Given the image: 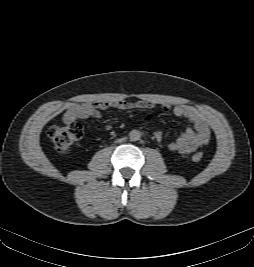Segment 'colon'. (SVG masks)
<instances>
[{"instance_id": "obj_1", "label": "colon", "mask_w": 254, "mask_h": 267, "mask_svg": "<svg viewBox=\"0 0 254 267\" xmlns=\"http://www.w3.org/2000/svg\"><path fill=\"white\" fill-rule=\"evenodd\" d=\"M48 135L52 140L55 149L59 153L67 152L83 135L82 126L78 123L67 125H53L48 130ZM192 161L195 163L203 159V154L197 152L192 155Z\"/></svg>"}]
</instances>
